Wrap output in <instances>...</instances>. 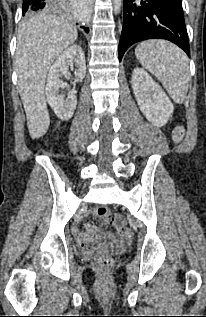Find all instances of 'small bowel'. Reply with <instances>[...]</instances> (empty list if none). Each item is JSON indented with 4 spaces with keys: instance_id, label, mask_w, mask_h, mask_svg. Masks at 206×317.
<instances>
[{
    "instance_id": "small-bowel-1",
    "label": "small bowel",
    "mask_w": 206,
    "mask_h": 317,
    "mask_svg": "<svg viewBox=\"0 0 206 317\" xmlns=\"http://www.w3.org/2000/svg\"><path fill=\"white\" fill-rule=\"evenodd\" d=\"M75 235L82 244H86L89 242L91 238H93L94 235H96L98 238H102L103 232L99 228H95L92 226H85L84 231L80 228H76ZM130 236H131L130 230L122 226L120 229L121 241L123 242L128 241ZM108 238H112V235L110 234Z\"/></svg>"
}]
</instances>
